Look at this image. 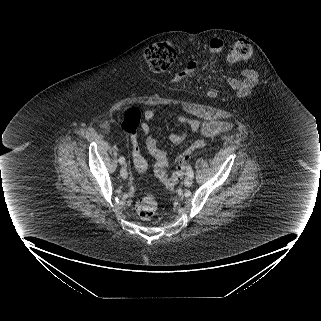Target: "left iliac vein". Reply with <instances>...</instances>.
Returning <instances> with one entry per match:
<instances>
[{
  "instance_id": "obj_1",
  "label": "left iliac vein",
  "mask_w": 321,
  "mask_h": 321,
  "mask_svg": "<svg viewBox=\"0 0 321 321\" xmlns=\"http://www.w3.org/2000/svg\"><path fill=\"white\" fill-rule=\"evenodd\" d=\"M193 184V177L187 176L184 180V185L190 187Z\"/></svg>"
}]
</instances>
